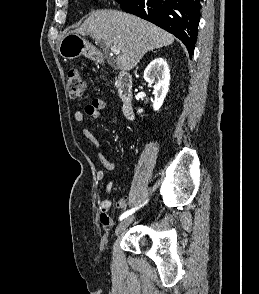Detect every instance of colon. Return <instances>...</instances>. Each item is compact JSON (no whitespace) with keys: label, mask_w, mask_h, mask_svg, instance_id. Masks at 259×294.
Instances as JSON below:
<instances>
[{"label":"colon","mask_w":259,"mask_h":294,"mask_svg":"<svg viewBox=\"0 0 259 294\" xmlns=\"http://www.w3.org/2000/svg\"><path fill=\"white\" fill-rule=\"evenodd\" d=\"M85 81L77 69H70L66 75V88L71 98L81 97L85 91Z\"/></svg>","instance_id":"5ec220e1"}]
</instances>
